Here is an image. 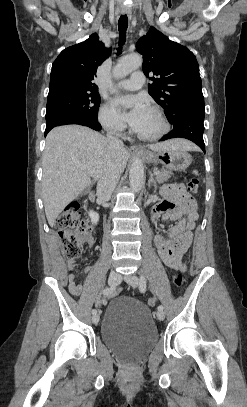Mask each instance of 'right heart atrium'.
Here are the masks:
<instances>
[{
	"mask_svg": "<svg viewBox=\"0 0 247 407\" xmlns=\"http://www.w3.org/2000/svg\"><path fill=\"white\" fill-rule=\"evenodd\" d=\"M98 121L103 128L114 134H121L125 129V125L121 119L107 103L100 106L98 110Z\"/></svg>",
	"mask_w": 247,
	"mask_h": 407,
	"instance_id": "right-heart-atrium-1",
	"label": "right heart atrium"
}]
</instances>
